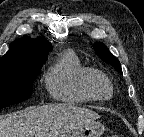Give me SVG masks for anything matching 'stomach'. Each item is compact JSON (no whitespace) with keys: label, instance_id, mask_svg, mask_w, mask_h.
Returning <instances> with one entry per match:
<instances>
[{"label":"stomach","instance_id":"stomach-1","mask_svg":"<svg viewBox=\"0 0 144 137\" xmlns=\"http://www.w3.org/2000/svg\"><path fill=\"white\" fill-rule=\"evenodd\" d=\"M105 131V127L99 123H89L75 130L68 137H101Z\"/></svg>","mask_w":144,"mask_h":137}]
</instances>
